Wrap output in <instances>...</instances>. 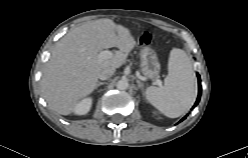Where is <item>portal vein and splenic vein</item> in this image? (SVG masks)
Wrapping results in <instances>:
<instances>
[{
  "label": "portal vein and splenic vein",
  "mask_w": 248,
  "mask_h": 158,
  "mask_svg": "<svg viewBox=\"0 0 248 158\" xmlns=\"http://www.w3.org/2000/svg\"><path fill=\"white\" fill-rule=\"evenodd\" d=\"M111 56H112V52L108 50H104L99 53V57L103 59L110 58ZM157 84L161 86L162 82L160 80H157Z\"/></svg>",
  "instance_id": "portal-vein-and-splenic-vein-1"
}]
</instances>
